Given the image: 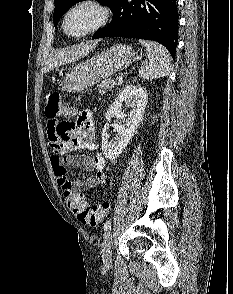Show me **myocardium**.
Here are the masks:
<instances>
[{"instance_id": "1", "label": "myocardium", "mask_w": 233, "mask_h": 294, "mask_svg": "<svg viewBox=\"0 0 233 294\" xmlns=\"http://www.w3.org/2000/svg\"><path fill=\"white\" fill-rule=\"evenodd\" d=\"M84 6L93 7L98 11L99 17H98L97 22L95 23L94 26H92L90 29H88L87 31H85L83 33H80V34L69 33L66 28V23H67V19H68L69 15L74 10H76L80 7H84ZM110 17H111V11H110L109 7L107 5H105L103 2H101L100 0H77L64 13L61 26H62V30L65 35H67L68 37H71V38L80 39V38L90 36V35L94 34L95 32H97L98 30H100L102 27H104L109 22Z\"/></svg>"}]
</instances>
